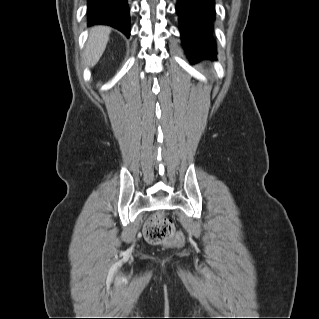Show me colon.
<instances>
[{
    "label": "colon",
    "instance_id": "colon-1",
    "mask_svg": "<svg viewBox=\"0 0 319 319\" xmlns=\"http://www.w3.org/2000/svg\"><path fill=\"white\" fill-rule=\"evenodd\" d=\"M146 239L154 244H166L181 247L185 243L183 233L177 232L172 221L162 215H155L144 226Z\"/></svg>",
    "mask_w": 319,
    "mask_h": 319
}]
</instances>
